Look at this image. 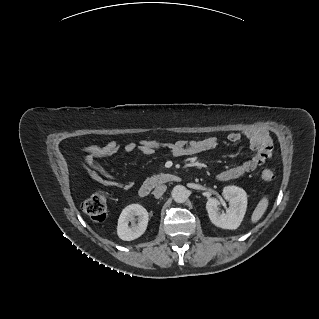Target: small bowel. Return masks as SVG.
I'll return each mask as SVG.
<instances>
[{"instance_id":"1","label":"small bowel","mask_w":319,"mask_h":319,"mask_svg":"<svg viewBox=\"0 0 319 319\" xmlns=\"http://www.w3.org/2000/svg\"><path fill=\"white\" fill-rule=\"evenodd\" d=\"M247 137L249 139L250 148L254 154L241 163L220 170L216 175L219 181L237 179L244 174L254 171L257 167L265 163L267 158L258 151V147L268 139V134L266 132H258L248 134ZM241 138L242 135L238 132H231L227 137L231 143H237ZM217 147L218 140L214 136L193 141L184 139L174 142L142 140L139 142H129L124 146H122L120 142L112 140L104 145L83 148L82 151L85 157L82 161V166L90 179L99 184L129 189L132 183L129 180L116 178L99 163V159L113 156L121 150L126 153L139 150L144 155H151L158 150H166L174 157L198 156Z\"/></svg>"}]
</instances>
